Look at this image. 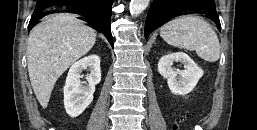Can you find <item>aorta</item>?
<instances>
[{"instance_id": "762f6f07", "label": "aorta", "mask_w": 257, "mask_h": 130, "mask_svg": "<svg viewBox=\"0 0 257 130\" xmlns=\"http://www.w3.org/2000/svg\"><path fill=\"white\" fill-rule=\"evenodd\" d=\"M149 0H131L130 14L132 16H138L148 6Z\"/></svg>"}]
</instances>
